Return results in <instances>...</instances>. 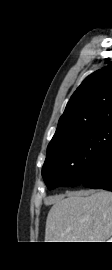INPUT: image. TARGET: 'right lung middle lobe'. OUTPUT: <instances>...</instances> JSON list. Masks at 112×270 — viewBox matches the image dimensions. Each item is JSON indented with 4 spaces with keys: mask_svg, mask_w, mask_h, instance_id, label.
I'll use <instances>...</instances> for the list:
<instances>
[{
    "mask_svg": "<svg viewBox=\"0 0 112 270\" xmlns=\"http://www.w3.org/2000/svg\"><path fill=\"white\" fill-rule=\"evenodd\" d=\"M111 145L112 122H109L48 148L42 168L48 189L80 185L93 161Z\"/></svg>",
    "mask_w": 112,
    "mask_h": 270,
    "instance_id": "obj_1",
    "label": "right lung middle lobe"
}]
</instances>
